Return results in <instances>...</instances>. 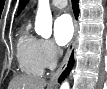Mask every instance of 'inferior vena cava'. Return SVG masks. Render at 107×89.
I'll return each mask as SVG.
<instances>
[{
    "label": "inferior vena cava",
    "mask_w": 107,
    "mask_h": 89,
    "mask_svg": "<svg viewBox=\"0 0 107 89\" xmlns=\"http://www.w3.org/2000/svg\"><path fill=\"white\" fill-rule=\"evenodd\" d=\"M62 53H63V52H62V49L58 48V49H57V54H58L59 56H61Z\"/></svg>",
    "instance_id": "inferior-vena-cava-1"
}]
</instances>
